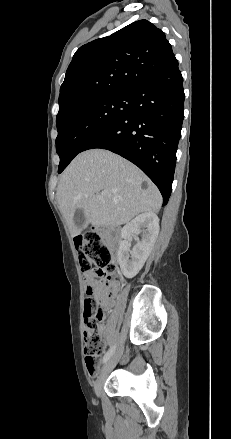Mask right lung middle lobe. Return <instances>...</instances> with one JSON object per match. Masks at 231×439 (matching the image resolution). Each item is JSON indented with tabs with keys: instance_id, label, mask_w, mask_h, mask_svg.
<instances>
[{
	"instance_id": "obj_1",
	"label": "right lung middle lobe",
	"mask_w": 231,
	"mask_h": 439,
	"mask_svg": "<svg viewBox=\"0 0 231 439\" xmlns=\"http://www.w3.org/2000/svg\"><path fill=\"white\" fill-rule=\"evenodd\" d=\"M131 106L132 94L101 95L83 100L58 114V172L65 169L91 138L126 114Z\"/></svg>"
}]
</instances>
